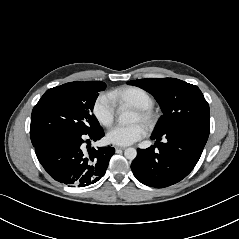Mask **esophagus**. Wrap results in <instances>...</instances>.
<instances>
[{
	"label": "esophagus",
	"mask_w": 239,
	"mask_h": 239,
	"mask_svg": "<svg viewBox=\"0 0 239 239\" xmlns=\"http://www.w3.org/2000/svg\"><path fill=\"white\" fill-rule=\"evenodd\" d=\"M115 149H116V150H124L125 147H122V146H115Z\"/></svg>",
	"instance_id": "1"
}]
</instances>
